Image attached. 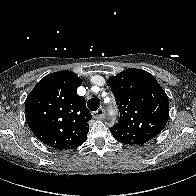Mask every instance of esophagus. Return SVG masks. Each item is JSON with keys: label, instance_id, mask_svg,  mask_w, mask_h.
Segmentation results:
<instances>
[{"label": "esophagus", "instance_id": "esophagus-1", "mask_svg": "<svg viewBox=\"0 0 196 196\" xmlns=\"http://www.w3.org/2000/svg\"><path fill=\"white\" fill-rule=\"evenodd\" d=\"M95 119H103L105 117V110L103 108H99L97 111L92 113Z\"/></svg>", "mask_w": 196, "mask_h": 196}]
</instances>
